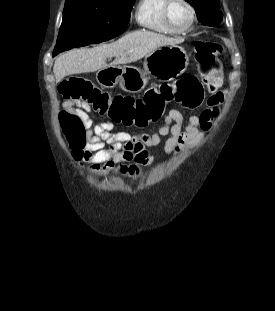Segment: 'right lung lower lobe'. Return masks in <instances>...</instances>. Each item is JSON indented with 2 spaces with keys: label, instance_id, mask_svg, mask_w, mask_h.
I'll use <instances>...</instances> for the list:
<instances>
[{
  "label": "right lung lower lobe",
  "instance_id": "98d812e1",
  "mask_svg": "<svg viewBox=\"0 0 275 311\" xmlns=\"http://www.w3.org/2000/svg\"><path fill=\"white\" fill-rule=\"evenodd\" d=\"M124 29H125V25L119 26L118 28H116V30H115L114 33H111V35H108V36L102 38V39L100 40V42L106 41V40H109V39H112V38L118 36L121 32L124 31ZM100 42H99V43H100Z\"/></svg>",
  "mask_w": 275,
  "mask_h": 311
}]
</instances>
